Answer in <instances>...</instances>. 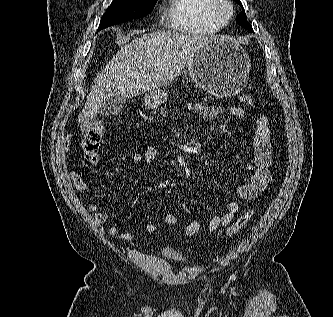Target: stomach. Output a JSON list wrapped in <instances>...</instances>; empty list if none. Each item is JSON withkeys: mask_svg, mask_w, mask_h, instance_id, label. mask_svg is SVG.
Wrapping results in <instances>:
<instances>
[{"mask_svg": "<svg viewBox=\"0 0 333 317\" xmlns=\"http://www.w3.org/2000/svg\"><path fill=\"white\" fill-rule=\"evenodd\" d=\"M188 73L197 87L217 98L238 94L246 85L251 62L237 41L215 37L206 41L188 61ZM167 92L156 89L145 96L144 104L156 109L167 101Z\"/></svg>", "mask_w": 333, "mask_h": 317, "instance_id": "stomach-1", "label": "stomach"}]
</instances>
